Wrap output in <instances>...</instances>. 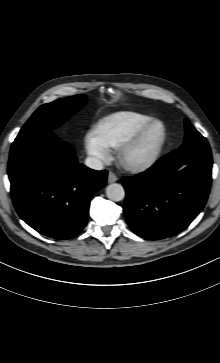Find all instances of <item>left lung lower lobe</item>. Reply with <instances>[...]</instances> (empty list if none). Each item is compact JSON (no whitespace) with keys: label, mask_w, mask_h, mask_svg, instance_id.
I'll return each instance as SVG.
<instances>
[{"label":"left lung lower lobe","mask_w":220,"mask_h":363,"mask_svg":"<svg viewBox=\"0 0 220 363\" xmlns=\"http://www.w3.org/2000/svg\"><path fill=\"white\" fill-rule=\"evenodd\" d=\"M186 164L181 171L177 169ZM210 147H180L147 171L124 177V214L137 235L158 240L183 231L202 211L211 185Z\"/></svg>","instance_id":"left-lung-lower-lobe-1"}]
</instances>
